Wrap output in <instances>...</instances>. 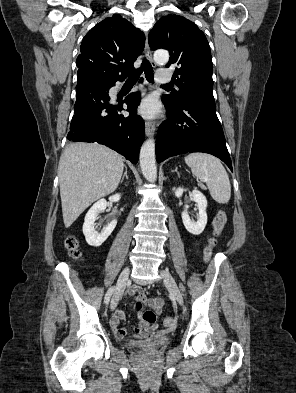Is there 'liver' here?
<instances>
[{"instance_id": "6515ba94", "label": "liver", "mask_w": 296, "mask_h": 393, "mask_svg": "<svg viewBox=\"0 0 296 393\" xmlns=\"http://www.w3.org/2000/svg\"><path fill=\"white\" fill-rule=\"evenodd\" d=\"M123 169L122 156L98 143H74L66 147L58 166L66 228L93 202L116 190Z\"/></svg>"}]
</instances>
